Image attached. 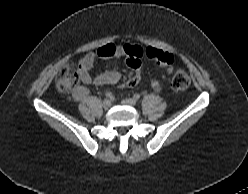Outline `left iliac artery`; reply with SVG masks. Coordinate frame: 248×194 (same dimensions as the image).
<instances>
[{"instance_id": "44dca946", "label": "left iliac artery", "mask_w": 248, "mask_h": 194, "mask_svg": "<svg viewBox=\"0 0 248 194\" xmlns=\"http://www.w3.org/2000/svg\"><path fill=\"white\" fill-rule=\"evenodd\" d=\"M133 98H134L135 100H139V99H140V95H139V94H134V95H133Z\"/></svg>"}]
</instances>
